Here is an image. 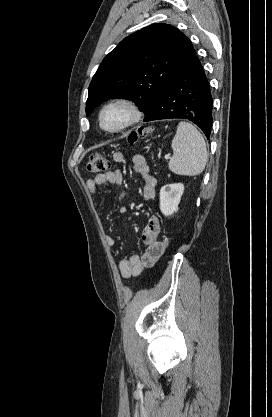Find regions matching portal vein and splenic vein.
Listing matches in <instances>:
<instances>
[{"instance_id": "obj_1", "label": "portal vein and splenic vein", "mask_w": 272, "mask_h": 417, "mask_svg": "<svg viewBox=\"0 0 272 417\" xmlns=\"http://www.w3.org/2000/svg\"><path fill=\"white\" fill-rule=\"evenodd\" d=\"M170 158V154L165 155V159H169Z\"/></svg>"}]
</instances>
